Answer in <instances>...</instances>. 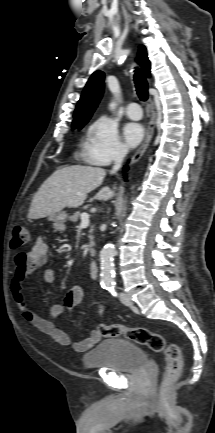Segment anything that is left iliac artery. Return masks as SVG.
<instances>
[{"mask_svg":"<svg viewBox=\"0 0 215 433\" xmlns=\"http://www.w3.org/2000/svg\"><path fill=\"white\" fill-rule=\"evenodd\" d=\"M109 291L112 293V295H113L114 297L117 296V293H116V291H115V286H111L110 289H109Z\"/></svg>","mask_w":215,"mask_h":433,"instance_id":"1","label":"left iliac artery"}]
</instances>
